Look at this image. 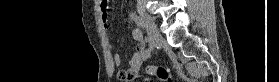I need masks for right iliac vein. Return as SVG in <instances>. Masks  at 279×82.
I'll list each match as a JSON object with an SVG mask.
<instances>
[{
	"label": "right iliac vein",
	"instance_id": "obj_1",
	"mask_svg": "<svg viewBox=\"0 0 279 82\" xmlns=\"http://www.w3.org/2000/svg\"><path fill=\"white\" fill-rule=\"evenodd\" d=\"M142 18H143L144 25L146 28L149 46L151 48H153L155 46L156 41L159 38V33H158L155 23L151 17L142 13Z\"/></svg>",
	"mask_w": 279,
	"mask_h": 82
}]
</instances>
